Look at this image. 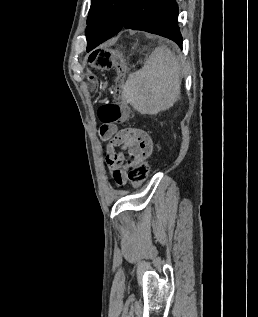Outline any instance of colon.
<instances>
[{
	"mask_svg": "<svg viewBox=\"0 0 258 317\" xmlns=\"http://www.w3.org/2000/svg\"><path fill=\"white\" fill-rule=\"evenodd\" d=\"M88 62L94 69H109L113 65V54L107 49H97L89 54ZM90 78L93 79V76H90ZM123 82L124 77L119 73L113 89L116 100L122 98ZM98 117L104 124H113L119 121H128L131 118V112L118 102H110L99 108ZM149 169L150 165L148 161L140 162L130 169L128 178L134 187H139L146 181Z\"/></svg>",
	"mask_w": 258,
	"mask_h": 317,
	"instance_id": "colon-1",
	"label": "colon"
}]
</instances>
